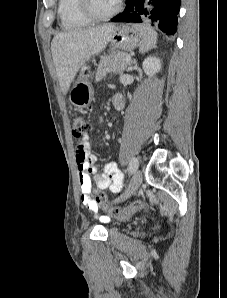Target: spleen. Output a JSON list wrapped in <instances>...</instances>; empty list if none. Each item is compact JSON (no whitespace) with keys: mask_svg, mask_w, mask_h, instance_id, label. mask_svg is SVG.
<instances>
[{"mask_svg":"<svg viewBox=\"0 0 227 298\" xmlns=\"http://www.w3.org/2000/svg\"><path fill=\"white\" fill-rule=\"evenodd\" d=\"M134 27L140 32L142 40L140 43V53H145L155 47L157 42V32L146 25L135 24Z\"/></svg>","mask_w":227,"mask_h":298,"instance_id":"3e777b00","label":"spleen"}]
</instances>
